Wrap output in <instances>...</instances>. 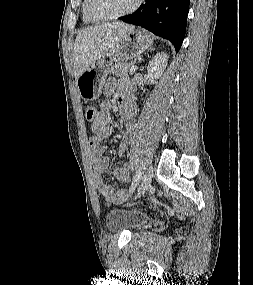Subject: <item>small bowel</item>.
I'll return each instance as SVG.
<instances>
[{"instance_id":"small-bowel-1","label":"small bowel","mask_w":253,"mask_h":285,"mask_svg":"<svg viewBox=\"0 0 253 285\" xmlns=\"http://www.w3.org/2000/svg\"><path fill=\"white\" fill-rule=\"evenodd\" d=\"M104 92L107 95L116 94L117 97L118 112L125 126V132L118 147L119 154L123 155L129 149L133 140L136 115V108L133 102L134 84L127 80L109 78L104 85ZM112 108V104L109 101H103L100 104V110H96L95 118L91 121L93 136L89 139V146L92 149L91 157L95 185L100 196L109 206L126 200L122 196L121 190L116 192L115 188L106 184L102 178L103 174L109 171L110 158L104 154V149L100 147V143L110 134L109 120ZM131 168L130 163H124L114 169L113 174L119 183L123 184L130 181Z\"/></svg>"}]
</instances>
